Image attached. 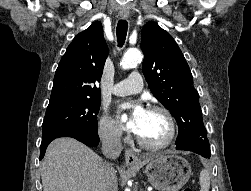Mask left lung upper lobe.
Returning a JSON list of instances; mask_svg holds the SVG:
<instances>
[{
	"mask_svg": "<svg viewBox=\"0 0 251 191\" xmlns=\"http://www.w3.org/2000/svg\"><path fill=\"white\" fill-rule=\"evenodd\" d=\"M142 71L153 95L177 121L176 145L189 141L209 146L202 121L199 94L179 46L157 23L148 22L141 32Z\"/></svg>",
	"mask_w": 251,
	"mask_h": 191,
	"instance_id": "left-lung-upper-lobe-1",
	"label": "left lung upper lobe"
}]
</instances>
